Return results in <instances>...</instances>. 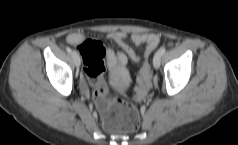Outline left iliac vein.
<instances>
[{
  "label": "left iliac vein",
  "mask_w": 238,
  "mask_h": 145,
  "mask_svg": "<svg viewBox=\"0 0 238 145\" xmlns=\"http://www.w3.org/2000/svg\"><path fill=\"white\" fill-rule=\"evenodd\" d=\"M161 63V54L157 52L153 58V66L155 69L159 68Z\"/></svg>",
  "instance_id": "left-iliac-vein-1"
}]
</instances>
